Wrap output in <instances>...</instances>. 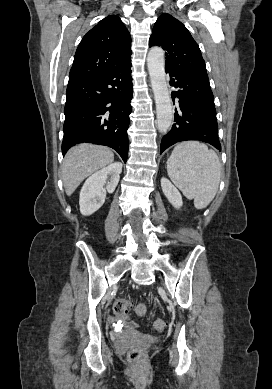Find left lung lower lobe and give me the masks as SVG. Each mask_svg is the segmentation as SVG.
I'll list each match as a JSON object with an SVG mask.
<instances>
[{"label": "left lung lower lobe", "instance_id": "0a47b994", "mask_svg": "<svg viewBox=\"0 0 272 389\" xmlns=\"http://www.w3.org/2000/svg\"><path fill=\"white\" fill-rule=\"evenodd\" d=\"M171 86L178 88L171 94L175 109V124L171 131L162 138L160 152L169 146L187 140H198L209 143L221 150L218 138V124L214 97L206 72H170Z\"/></svg>", "mask_w": 272, "mask_h": 389}]
</instances>
